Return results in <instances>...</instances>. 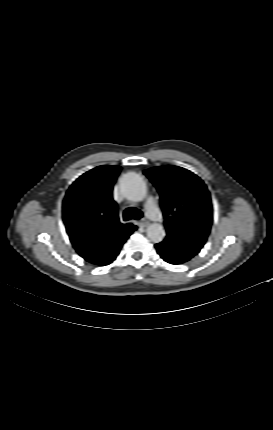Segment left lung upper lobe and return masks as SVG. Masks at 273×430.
Masks as SVG:
<instances>
[{"mask_svg": "<svg viewBox=\"0 0 273 430\" xmlns=\"http://www.w3.org/2000/svg\"><path fill=\"white\" fill-rule=\"evenodd\" d=\"M144 174L160 193L166 237L171 252L178 250L187 260L199 253L212 224L211 197L204 182L177 166H159Z\"/></svg>", "mask_w": 273, "mask_h": 430, "instance_id": "left-lung-upper-lobe-1", "label": "left lung upper lobe"}]
</instances>
